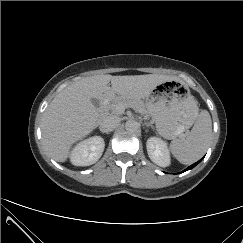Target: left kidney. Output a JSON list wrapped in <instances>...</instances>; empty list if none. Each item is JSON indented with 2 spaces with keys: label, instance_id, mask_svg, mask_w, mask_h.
<instances>
[{
  "label": "left kidney",
  "instance_id": "5707ae66",
  "mask_svg": "<svg viewBox=\"0 0 243 243\" xmlns=\"http://www.w3.org/2000/svg\"><path fill=\"white\" fill-rule=\"evenodd\" d=\"M147 152L152 162L161 167L170 165V154L167 144L157 137H150L146 143Z\"/></svg>",
  "mask_w": 243,
  "mask_h": 243
}]
</instances>
